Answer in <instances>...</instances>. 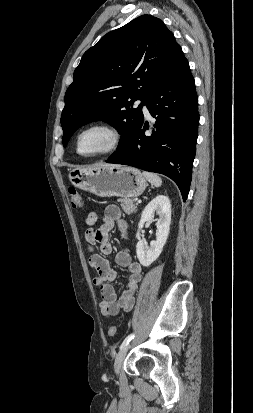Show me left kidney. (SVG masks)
Returning a JSON list of instances; mask_svg holds the SVG:
<instances>
[{"label": "left kidney", "instance_id": "5707ae66", "mask_svg": "<svg viewBox=\"0 0 253 413\" xmlns=\"http://www.w3.org/2000/svg\"><path fill=\"white\" fill-rule=\"evenodd\" d=\"M155 212L159 215V219L156 222V240L151 241L150 245L148 246L141 240L140 230L143 228L145 222H152V217ZM170 223V200L165 195H158L144 208L140 222L138 224V231L136 234V238L138 239V243L136 245V253L139 262L143 266H150L160 256L168 238Z\"/></svg>", "mask_w": 253, "mask_h": 413}]
</instances>
